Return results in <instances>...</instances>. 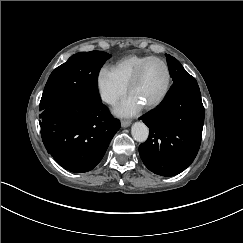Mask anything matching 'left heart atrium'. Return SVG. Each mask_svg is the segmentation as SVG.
<instances>
[{
  "label": "left heart atrium",
  "instance_id": "39dd6f15",
  "mask_svg": "<svg viewBox=\"0 0 243 243\" xmlns=\"http://www.w3.org/2000/svg\"><path fill=\"white\" fill-rule=\"evenodd\" d=\"M143 103L136 97L129 95L113 107V112L120 116H134L143 109Z\"/></svg>",
  "mask_w": 243,
  "mask_h": 243
}]
</instances>
